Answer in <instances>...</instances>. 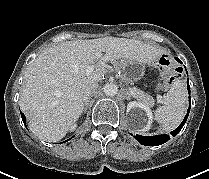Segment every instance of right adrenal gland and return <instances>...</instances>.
Listing matches in <instances>:
<instances>
[{"label": "right adrenal gland", "instance_id": "right-adrenal-gland-1", "mask_svg": "<svg viewBox=\"0 0 209 179\" xmlns=\"http://www.w3.org/2000/svg\"><path fill=\"white\" fill-rule=\"evenodd\" d=\"M90 97H89V99L85 102V104H84V113L86 112V110H87V107H88V104H89V102H90Z\"/></svg>", "mask_w": 209, "mask_h": 179}]
</instances>
